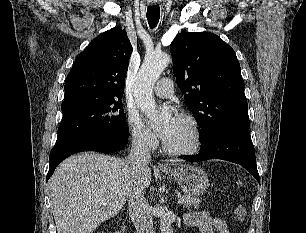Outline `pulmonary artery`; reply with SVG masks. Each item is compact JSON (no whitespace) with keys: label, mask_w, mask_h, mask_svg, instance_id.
Wrapping results in <instances>:
<instances>
[{"label":"pulmonary artery","mask_w":306,"mask_h":233,"mask_svg":"<svg viewBox=\"0 0 306 233\" xmlns=\"http://www.w3.org/2000/svg\"><path fill=\"white\" fill-rule=\"evenodd\" d=\"M154 93L160 98H168L173 94V81L171 78H162L156 87Z\"/></svg>","instance_id":"1"}]
</instances>
